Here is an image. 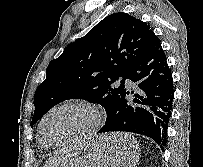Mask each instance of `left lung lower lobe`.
Wrapping results in <instances>:
<instances>
[{
    "label": "left lung lower lobe",
    "instance_id": "obj_1",
    "mask_svg": "<svg viewBox=\"0 0 203 167\" xmlns=\"http://www.w3.org/2000/svg\"><path fill=\"white\" fill-rule=\"evenodd\" d=\"M127 78L137 83L141 93L125 90L98 133L124 131L142 134L153 139L164 150L174 86L159 39L136 61ZM102 146L116 150L115 144Z\"/></svg>",
    "mask_w": 203,
    "mask_h": 167
}]
</instances>
